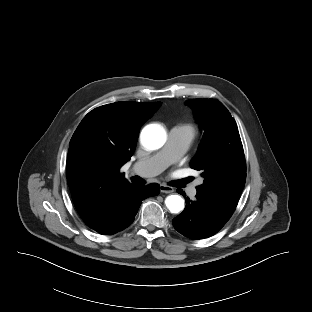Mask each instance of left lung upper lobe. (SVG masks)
I'll return each mask as SVG.
<instances>
[{
    "mask_svg": "<svg viewBox=\"0 0 312 312\" xmlns=\"http://www.w3.org/2000/svg\"><path fill=\"white\" fill-rule=\"evenodd\" d=\"M186 102L204 130L198 152L190 163L204 178L203 184L196 187L197 194L235 210L246 181L245 156L236 122L218 100Z\"/></svg>",
    "mask_w": 312,
    "mask_h": 312,
    "instance_id": "1",
    "label": "left lung upper lobe"
}]
</instances>
